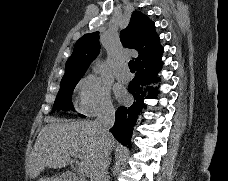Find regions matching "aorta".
<instances>
[{
  "instance_id": "aorta-1",
  "label": "aorta",
  "mask_w": 228,
  "mask_h": 181,
  "mask_svg": "<svg viewBox=\"0 0 228 181\" xmlns=\"http://www.w3.org/2000/svg\"><path fill=\"white\" fill-rule=\"evenodd\" d=\"M102 69H103V64L101 62L97 61L95 63V66L93 67L94 73L98 74L102 71Z\"/></svg>"
}]
</instances>
